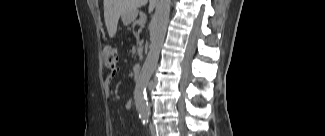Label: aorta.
Instances as JSON below:
<instances>
[{
	"instance_id": "1",
	"label": "aorta",
	"mask_w": 325,
	"mask_h": 136,
	"mask_svg": "<svg viewBox=\"0 0 325 136\" xmlns=\"http://www.w3.org/2000/svg\"><path fill=\"white\" fill-rule=\"evenodd\" d=\"M170 8L171 0H160L152 17L149 52L134 89L135 106L136 109L142 114L148 113L150 110L146 91L150 78L156 69L160 50L166 36Z\"/></svg>"
}]
</instances>
